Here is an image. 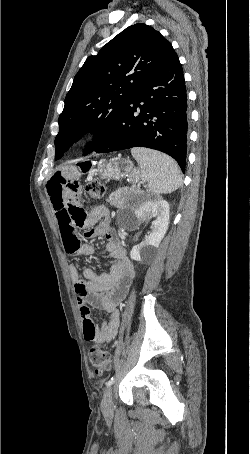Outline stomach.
Instances as JSON below:
<instances>
[{
    "instance_id": "1",
    "label": "stomach",
    "mask_w": 250,
    "mask_h": 454,
    "mask_svg": "<svg viewBox=\"0 0 250 454\" xmlns=\"http://www.w3.org/2000/svg\"><path fill=\"white\" fill-rule=\"evenodd\" d=\"M80 165L82 169L90 170L91 176L94 175L93 164L91 162H82ZM97 170L103 179H119L127 176L130 183H137L142 177V173L138 169L133 168L132 162L125 158H115L106 161L99 165Z\"/></svg>"
}]
</instances>
